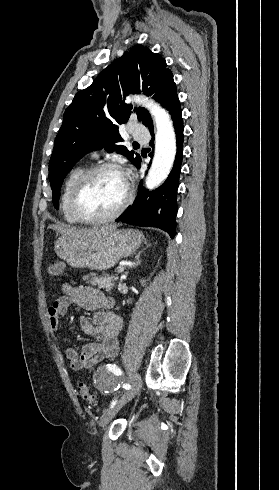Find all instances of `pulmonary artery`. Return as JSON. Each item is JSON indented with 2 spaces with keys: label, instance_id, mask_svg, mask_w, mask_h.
Returning a JSON list of instances; mask_svg holds the SVG:
<instances>
[{
  "label": "pulmonary artery",
  "instance_id": "obj_1",
  "mask_svg": "<svg viewBox=\"0 0 279 490\" xmlns=\"http://www.w3.org/2000/svg\"><path fill=\"white\" fill-rule=\"evenodd\" d=\"M128 131L131 133H134V138L135 140H146L147 137L150 135V130L149 128H141L140 124H128L127 125ZM135 128L137 130H135ZM92 156H97L96 152L92 154Z\"/></svg>",
  "mask_w": 279,
  "mask_h": 490
}]
</instances>
